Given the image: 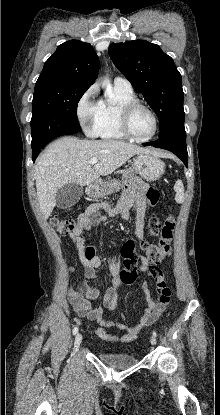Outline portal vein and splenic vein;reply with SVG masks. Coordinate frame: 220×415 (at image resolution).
<instances>
[{
  "instance_id": "18ae733b",
  "label": "portal vein and splenic vein",
  "mask_w": 220,
  "mask_h": 415,
  "mask_svg": "<svg viewBox=\"0 0 220 415\" xmlns=\"http://www.w3.org/2000/svg\"><path fill=\"white\" fill-rule=\"evenodd\" d=\"M98 162V159L97 158H92L91 160H90V163L91 164H96Z\"/></svg>"
}]
</instances>
